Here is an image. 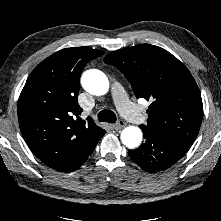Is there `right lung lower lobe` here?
I'll use <instances>...</instances> for the list:
<instances>
[{
	"label": "right lung lower lobe",
	"mask_w": 221,
	"mask_h": 221,
	"mask_svg": "<svg viewBox=\"0 0 221 221\" xmlns=\"http://www.w3.org/2000/svg\"><path fill=\"white\" fill-rule=\"evenodd\" d=\"M94 150V149H93ZM93 150H91L89 153H88V155L86 156V158H85V160L80 164V166L88 159V157H89V155H91V153L93 152ZM79 166V167H80ZM78 167V168H79Z\"/></svg>",
	"instance_id": "right-lung-lower-lobe-1"
}]
</instances>
